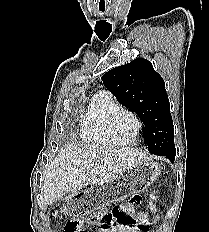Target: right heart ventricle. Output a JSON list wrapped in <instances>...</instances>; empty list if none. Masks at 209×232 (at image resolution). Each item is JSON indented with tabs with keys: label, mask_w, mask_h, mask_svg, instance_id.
<instances>
[{
	"label": "right heart ventricle",
	"mask_w": 209,
	"mask_h": 232,
	"mask_svg": "<svg viewBox=\"0 0 209 232\" xmlns=\"http://www.w3.org/2000/svg\"><path fill=\"white\" fill-rule=\"evenodd\" d=\"M118 108L119 105L110 93L107 91L96 93L81 119L80 133L83 140L96 147L111 146L112 143L106 135V121Z\"/></svg>",
	"instance_id": "right-heart-ventricle-1"
}]
</instances>
